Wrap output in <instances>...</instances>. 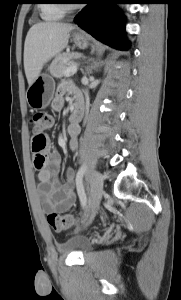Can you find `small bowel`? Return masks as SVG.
<instances>
[{
	"label": "small bowel",
	"instance_id": "obj_1",
	"mask_svg": "<svg viewBox=\"0 0 181 300\" xmlns=\"http://www.w3.org/2000/svg\"><path fill=\"white\" fill-rule=\"evenodd\" d=\"M66 87L62 85L56 97L52 101L51 108L60 111L64 106L63 95ZM80 132L79 123L68 126L70 135L69 147L76 150L78 146L77 137ZM44 162L38 166L36 164L37 155H34V166L38 170V192L42 200L43 210L46 213L53 211H66L75 203V173L72 169H67L65 179L61 182L58 179L61 158L57 151L47 150L43 152Z\"/></svg>",
	"mask_w": 181,
	"mask_h": 300
}]
</instances>
